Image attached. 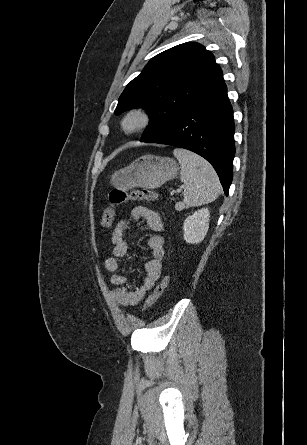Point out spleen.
I'll list each match as a JSON object with an SVG mask.
<instances>
[{
    "mask_svg": "<svg viewBox=\"0 0 307 445\" xmlns=\"http://www.w3.org/2000/svg\"><path fill=\"white\" fill-rule=\"evenodd\" d=\"M173 154L180 162V178L184 184V204L201 206L215 200L221 192V184L210 162L185 148H174Z\"/></svg>",
    "mask_w": 307,
    "mask_h": 445,
    "instance_id": "1",
    "label": "spleen"
}]
</instances>
